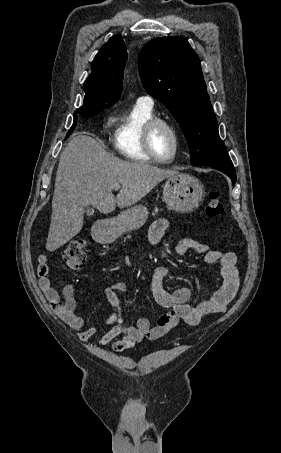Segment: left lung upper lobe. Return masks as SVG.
Returning <instances> with one entry per match:
<instances>
[{
    "mask_svg": "<svg viewBox=\"0 0 281 453\" xmlns=\"http://www.w3.org/2000/svg\"><path fill=\"white\" fill-rule=\"evenodd\" d=\"M139 71L147 93L162 102L179 123L194 166L231 165L197 54L186 39L158 37L139 56Z\"/></svg>",
    "mask_w": 281,
    "mask_h": 453,
    "instance_id": "obj_1",
    "label": "left lung upper lobe"
}]
</instances>
